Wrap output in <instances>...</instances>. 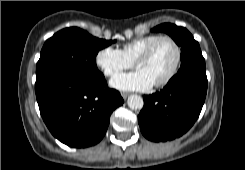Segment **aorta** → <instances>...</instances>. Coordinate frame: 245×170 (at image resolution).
<instances>
[{
	"label": "aorta",
	"mask_w": 245,
	"mask_h": 170,
	"mask_svg": "<svg viewBox=\"0 0 245 170\" xmlns=\"http://www.w3.org/2000/svg\"><path fill=\"white\" fill-rule=\"evenodd\" d=\"M128 106L133 110L142 109L144 102L143 98L139 95H131L128 98Z\"/></svg>",
	"instance_id": "aorta-1"
}]
</instances>
